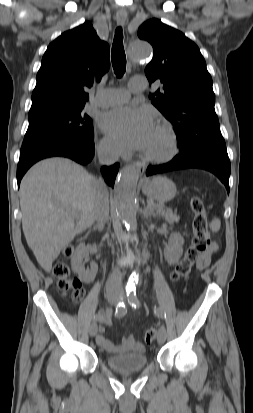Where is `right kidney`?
<instances>
[{"mask_svg":"<svg viewBox=\"0 0 253 413\" xmlns=\"http://www.w3.org/2000/svg\"><path fill=\"white\" fill-rule=\"evenodd\" d=\"M88 251L86 249L85 244H80L74 254L71 257V267L75 273L78 274V277L85 281V282H91L95 279L97 271H98V265L95 262L91 263V268L85 270L83 266V259L88 258Z\"/></svg>","mask_w":253,"mask_h":413,"instance_id":"ca27d5eb","label":"right kidney"}]
</instances>
